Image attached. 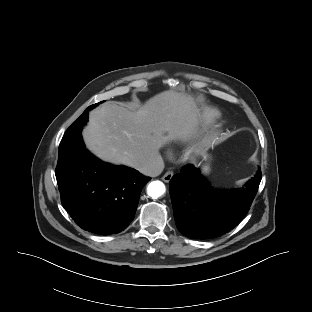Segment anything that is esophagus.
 <instances>
[{
  "instance_id": "obj_1",
  "label": "esophagus",
  "mask_w": 312,
  "mask_h": 312,
  "mask_svg": "<svg viewBox=\"0 0 312 312\" xmlns=\"http://www.w3.org/2000/svg\"><path fill=\"white\" fill-rule=\"evenodd\" d=\"M173 177V171L168 170L162 177V180L164 182H169L171 178Z\"/></svg>"
}]
</instances>
